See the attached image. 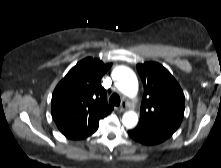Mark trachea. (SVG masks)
Instances as JSON below:
<instances>
[{
  "label": "trachea",
  "mask_w": 221,
  "mask_h": 168,
  "mask_svg": "<svg viewBox=\"0 0 221 168\" xmlns=\"http://www.w3.org/2000/svg\"><path fill=\"white\" fill-rule=\"evenodd\" d=\"M109 104L114 105V106H119L120 105L119 95L118 94H113L109 99Z\"/></svg>",
  "instance_id": "obj_1"
}]
</instances>
